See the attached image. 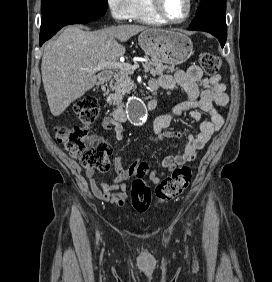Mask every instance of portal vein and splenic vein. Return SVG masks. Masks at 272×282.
Here are the masks:
<instances>
[{
	"label": "portal vein and splenic vein",
	"mask_w": 272,
	"mask_h": 282,
	"mask_svg": "<svg viewBox=\"0 0 272 282\" xmlns=\"http://www.w3.org/2000/svg\"><path fill=\"white\" fill-rule=\"evenodd\" d=\"M139 68V64L130 65L128 63H120L117 61H99L94 70H102V69H119L126 70L130 74L134 72V70Z\"/></svg>",
	"instance_id": "18ae733b"
}]
</instances>
